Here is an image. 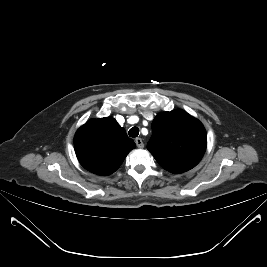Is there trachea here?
I'll return each instance as SVG.
<instances>
[{
  "label": "trachea",
  "mask_w": 267,
  "mask_h": 267,
  "mask_svg": "<svg viewBox=\"0 0 267 267\" xmlns=\"http://www.w3.org/2000/svg\"><path fill=\"white\" fill-rule=\"evenodd\" d=\"M130 137H137L139 135V128L138 127H132L128 132Z\"/></svg>",
  "instance_id": "1"
}]
</instances>
